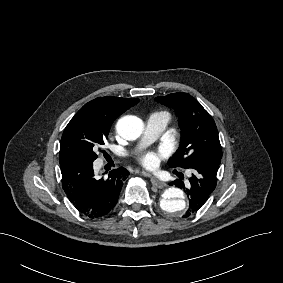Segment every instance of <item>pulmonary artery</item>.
Wrapping results in <instances>:
<instances>
[{
	"mask_svg": "<svg viewBox=\"0 0 283 283\" xmlns=\"http://www.w3.org/2000/svg\"><path fill=\"white\" fill-rule=\"evenodd\" d=\"M169 115L164 112H156L149 115L146 121L143 143L155 140L166 128Z\"/></svg>",
	"mask_w": 283,
	"mask_h": 283,
	"instance_id": "1",
	"label": "pulmonary artery"
}]
</instances>
